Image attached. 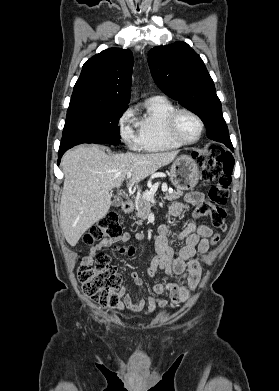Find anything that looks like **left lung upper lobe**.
I'll use <instances>...</instances> for the list:
<instances>
[{"label": "left lung upper lobe", "mask_w": 279, "mask_h": 391, "mask_svg": "<svg viewBox=\"0 0 279 391\" xmlns=\"http://www.w3.org/2000/svg\"><path fill=\"white\" fill-rule=\"evenodd\" d=\"M148 61L157 86L199 116L207 128L208 138L231 149L221 102L199 55L185 42H176L151 49Z\"/></svg>", "instance_id": "obj_1"}]
</instances>
